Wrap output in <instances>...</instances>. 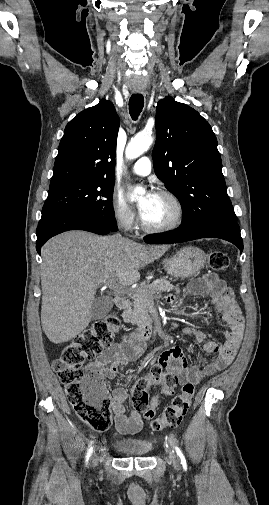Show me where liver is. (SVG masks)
<instances>
[{"instance_id": "obj_1", "label": "liver", "mask_w": 269, "mask_h": 505, "mask_svg": "<svg viewBox=\"0 0 269 505\" xmlns=\"http://www.w3.org/2000/svg\"><path fill=\"white\" fill-rule=\"evenodd\" d=\"M165 245L145 246L119 235L69 231L41 250L42 329L55 344L67 342L89 325L96 289L116 280L130 286L141 268L159 259Z\"/></svg>"}]
</instances>
